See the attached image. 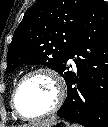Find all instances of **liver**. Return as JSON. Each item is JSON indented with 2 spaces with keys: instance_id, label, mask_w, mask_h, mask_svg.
I'll return each mask as SVG.
<instances>
[{
  "instance_id": "1",
  "label": "liver",
  "mask_w": 108,
  "mask_h": 127,
  "mask_svg": "<svg viewBox=\"0 0 108 127\" xmlns=\"http://www.w3.org/2000/svg\"><path fill=\"white\" fill-rule=\"evenodd\" d=\"M55 120H56V118H48L45 120H39V121L33 122L32 124L24 125L23 127H43V126H47V125L51 124Z\"/></svg>"
}]
</instances>
